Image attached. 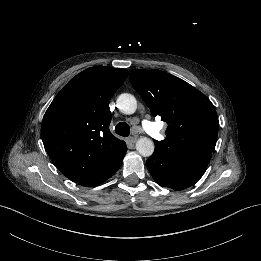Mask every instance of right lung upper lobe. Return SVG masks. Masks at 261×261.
<instances>
[{
  "label": "right lung upper lobe",
  "instance_id": "1",
  "mask_svg": "<svg viewBox=\"0 0 261 261\" xmlns=\"http://www.w3.org/2000/svg\"><path fill=\"white\" fill-rule=\"evenodd\" d=\"M121 68L95 66L72 78L47 109L41 137L55 166L81 182L110 166L126 143L109 131V101L127 78Z\"/></svg>",
  "mask_w": 261,
  "mask_h": 261
}]
</instances>
